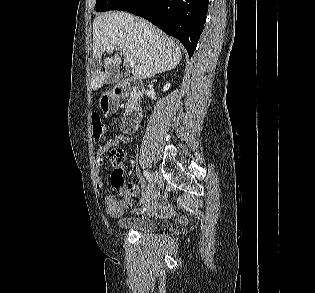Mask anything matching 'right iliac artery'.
Returning a JSON list of instances; mask_svg holds the SVG:
<instances>
[{
  "instance_id": "right-iliac-artery-1",
  "label": "right iliac artery",
  "mask_w": 315,
  "mask_h": 293,
  "mask_svg": "<svg viewBox=\"0 0 315 293\" xmlns=\"http://www.w3.org/2000/svg\"><path fill=\"white\" fill-rule=\"evenodd\" d=\"M144 176L149 182L152 181V176L148 171H146V170L144 171Z\"/></svg>"
}]
</instances>
